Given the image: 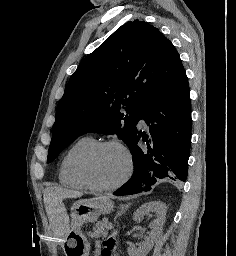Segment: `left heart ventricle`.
I'll return each instance as SVG.
<instances>
[{
  "label": "left heart ventricle",
  "instance_id": "b2bd125f",
  "mask_svg": "<svg viewBox=\"0 0 236 256\" xmlns=\"http://www.w3.org/2000/svg\"><path fill=\"white\" fill-rule=\"evenodd\" d=\"M126 171V158L116 147H107L96 154L89 164L91 181L99 187H109L123 177Z\"/></svg>",
  "mask_w": 236,
  "mask_h": 256
}]
</instances>
